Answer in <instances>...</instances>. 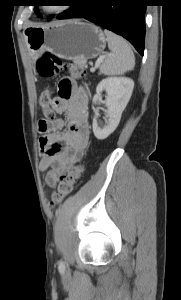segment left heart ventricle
<instances>
[{"label":"left heart ventricle","mask_w":181,"mask_h":300,"mask_svg":"<svg viewBox=\"0 0 181 300\" xmlns=\"http://www.w3.org/2000/svg\"><path fill=\"white\" fill-rule=\"evenodd\" d=\"M57 7H58L57 5L47 6V8H49V9H56Z\"/></svg>","instance_id":"left-heart-ventricle-1"}]
</instances>
